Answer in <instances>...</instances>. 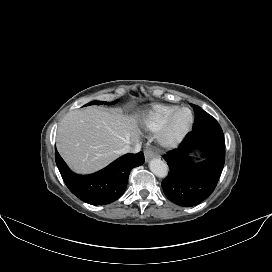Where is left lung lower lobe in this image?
Listing matches in <instances>:
<instances>
[{"mask_svg": "<svg viewBox=\"0 0 272 272\" xmlns=\"http://www.w3.org/2000/svg\"><path fill=\"white\" fill-rule=\"evenodd\" d=\"M203 151L204 160L193 163L189 154ZM170 172L162 181L166 197L177 205L191 207L215 189L225 162V140L217 121L190 132L177 149L163 156Z\"/></svg>", "mask_w": 272, "mask_h": 272, "instance_id": "1", "label": "left lung lower lobe"}]
</instances>
